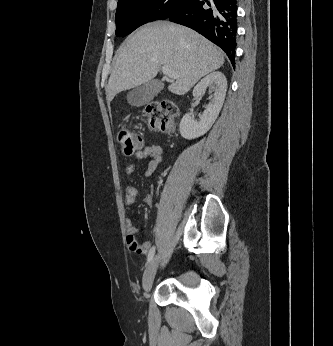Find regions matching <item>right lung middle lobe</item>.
<instances>
[{"label": "right lung middle lobe", "instance_id": "right-lung-middle-lobe-1", "mask_svg": "<svg viewBox=\"0 0 333 346\" xmlns=\"http://www.w3.org/2000/svg\"><path fill=\"white\" fill-rule=\"evenodd\" d=\"M185 0H118L116 35L124 37L139 26L167 19Z\"/></svg>", "mask_w": 333, "mask_h": 346}]
</instances>
